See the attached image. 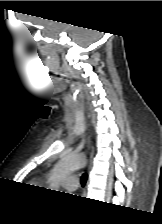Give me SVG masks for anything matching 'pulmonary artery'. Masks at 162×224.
<instances>
[{"label": "pulmonary artery", "mask_w": 162, "mask_h": 224, "mask_svg": "<svg viewBox=\"0 0 162 224\" xmlns=\"http://www.w3.org/2000/svg\"><path fill=\"white\" fill-rule=\"evenodd\" d=\"M65 187L71 191L76 190L79 186V179L77 176L72 175L65 181Z\"/></svg>", "instance_id": "pulmonary-artery-1"}]
</instances>
